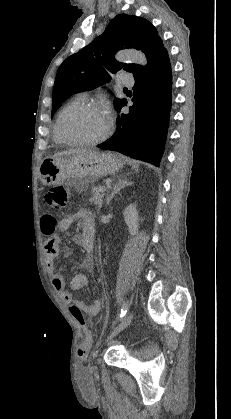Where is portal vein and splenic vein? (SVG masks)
Wrapping results in <instances>:
<instances>
[{
    "label": "portal vein and splenic vein",
    "instance_id": "1",
    "mask_svg": "<svg viewBox=\"0 0 231 419\" xmlns=\"http://www.w3.org/2000/svg\"><path fill=\"white\" fill-rule=\"evenodd\" d=\"M107 187H108V185H107ZM107 187H105V186H101V187H100V191H101V192H104V191L106 190V188H107Z\"/></svg>",
    "mask_w": 231,
    "mask_h": 419
}]
</instances>
